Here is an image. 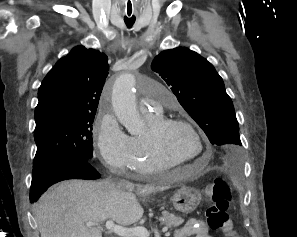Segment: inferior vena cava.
<instances>
[{
  "label": "inferior vena cava",
  "instance_id": "602c4592",
  "mask_svg": "<svg viewBox=\"0 0 297 237\" xmlns=\"http://www.w3.org/2000/svg\"><path fill=\"white\" fill-rule=\"evenodd\" d=\"M117 185L121 188H129V187H132V183H130L129 181H126V180H121L117 183Z\"/></svg>",
  "mask_w": 297,
  "mask_h": 237
}]
</instances>
